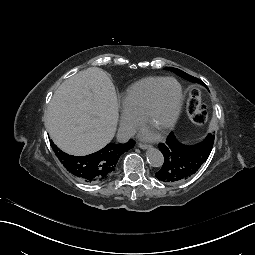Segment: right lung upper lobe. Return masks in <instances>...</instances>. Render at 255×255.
Wrapping results in <instances>:
<instances>
[{"instance_id":"right-lung-upper-lobe-1","label":"right lung upper lobe","mask_w":255,"mask_h":255,"mask_svg":"<svg viewBox=\"0 0 255 255\" xmlns=\"http://www.w3.org/2000/svg\"><path fill=\"white\" fill-rule=\"evenodd\" d=\"M135 145L133 140H129L125 144H115L110 143L103 149L93 153L94 158L100 161V173L94 175L91 180H86L83 178V156H72L61 151L52 141L51 146L60 160V162L66 167V169L72 173L74 176L78 177L80 180L95 183L102 181L107 178L115 169L119 157L127 152L129 149L133 148Z\"/></svg>"}]
</instances>
